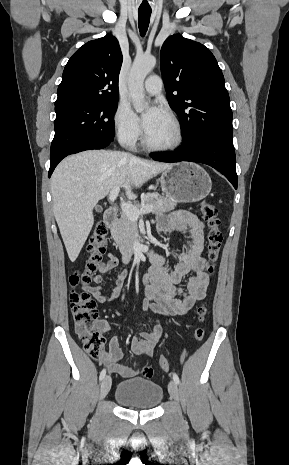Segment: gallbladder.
<instances>
[{
  "label": "gallbladder",
  "mask_w": 289,
  "mask_h": 465,
  "mask_svg": "<svg viewBox=\"0 0 289 465\" xmlns=\"http://www.w3.org/2000/svg\"><path fill=\"white\" fill-rule=\"evenodd\" d=\"M95 209H96L97 211H101V210H102V208H101L100 206H96Z\"/></svg>",
  "instance_id": "gallbladder-1"
}]
</instances>
